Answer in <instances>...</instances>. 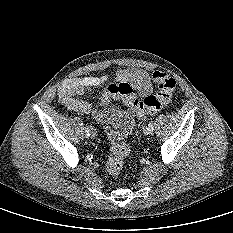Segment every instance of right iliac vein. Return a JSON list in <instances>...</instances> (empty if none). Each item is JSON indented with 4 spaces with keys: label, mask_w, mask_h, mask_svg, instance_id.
I'll list each match as a JSON object with an SVG mask.
<instances>
[{
    "label": "right iliac vein",
    "mask_w": 233,
    "mask_h": 233,
    "mask_svg": "<svg viewBox=\"0 0 233 233\" xmlns=\"http://www.w3.org/2000/svg\"><path fill=\"white\" fill-rule=\"evenodd\" d=\"M90 135L94 137L96 135V130L94 128H91Z\"/></svg>",
    "instance_id": "obj_1"
}]
</instances>
